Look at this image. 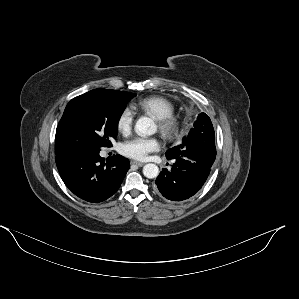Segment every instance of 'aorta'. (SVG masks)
<instances>
[{
    "instance_id": "obj_1",
    "label": "aorta",
    "mask_w": 299,
    "mask_h": 299,
    "mask_svg": "<svg viewBox=\"0 0 299 299\" xmlns=\"http://www.w3.org/2000/svg\"><path fill=\"white\" fill-rule=\"evenodd\" d=\"M135 132L140 136L153 135L157 131V126L152 119L143 116L135 124ZM143 174L149 179L156 178L159 174V168L156 164L149 163L143 167Z\"/></svg>"
}]
</instances>
